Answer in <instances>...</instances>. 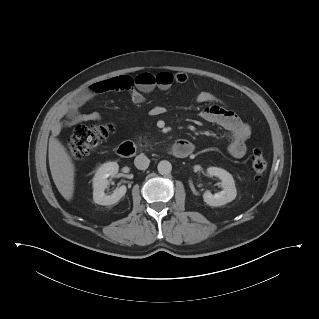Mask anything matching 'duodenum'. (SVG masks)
<instances>
[{"instance_id": "obj_1", "label": "duodenum", "mask_w": 319, "mask_h": 319, "mask_svg": "<svg viewBox=\"0 0 319 319\" xmlns=\"http://www.w3.org/2000/svg\"><path fill=\"white\" fill-rule=\"evenodd\" d=\"M193 144L185 139L176 141L171 149L172 155L177 158H185L193 151ZM137 146L132 142H124L117 149L118 155L121 157L132 156L136 152Z\"/></svg>"}]
</instances>
